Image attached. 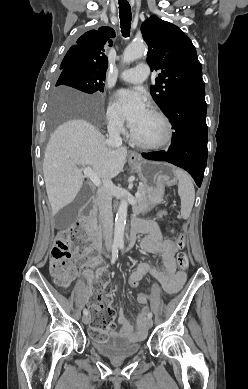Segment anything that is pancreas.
Masks as SVG:
<instances>
[{
    "instance_id": "1",
    "label": "pancreas",
    "mask_w": 248,
    "mask_h": 389,
    "mask_svg": "<svg viewBox=\"0 0 248 389\" xmlns=\"http://www.w3.org/2000/svg\"><path fill=\"white\" fill-rule=\"evenodd\" d=\"M138 192L140 193V197H137L138 204L134 207V209L138 213H144L149 209L146 187L144 185H140L138 187Z\"/></svg>"
}]
</instances>
